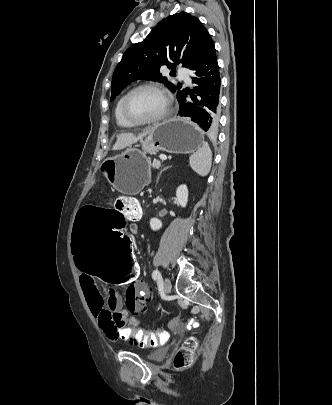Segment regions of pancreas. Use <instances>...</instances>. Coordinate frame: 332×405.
I'll return each mask as SVG.
<instances>
[{
  "instance_id": "cf45deb5",
  "label": "pancreas",
  "mask_w": 332,
  "mask_h": 405,
  "mask_svg": "<svg viewBox=\"0 0 332 405\" xmlns=\"http://www.w3.org/2000/svg\"><path fill=\"white\" fill-rule=\"evenodd\" d=\"M152 166L154 168H159L161 166V162L160 161H153Z\"/></svg>"
}]
</instances>
